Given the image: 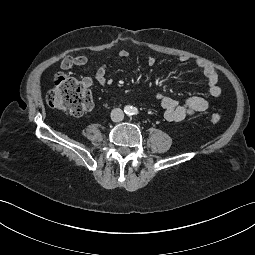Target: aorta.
I'll return each instance as SVG.
<instances>
[{
	"label": "aorta",
	"mask_w": 255,
	"mask_h": 255,
	"mask_svg": "<svg viewBox=\"0 0 255 255\" xmlns=\"http://www.w3.org/2000/svg\"><path fill=\"white\" fill-rule=\"evenodd\" d=\"M125 111L127 114H132L133 113V107L132 106H126Z\"/></svg>",
	"instance_id": "obj_1"
}]
</instances>
